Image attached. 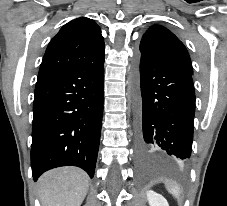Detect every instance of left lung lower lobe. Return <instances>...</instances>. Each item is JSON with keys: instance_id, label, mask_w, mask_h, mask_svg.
Segmentation results:
<instances>
[{"instance_id": "0a47b994", "label": "left lung lower lobe", "mask_w": 227, "mask_h": 206, "mask_svg": "<svg viewBox=\"0 0 227 206\" xmlns=\"http://www.w3.org/2000/svg\"><path fill=\"white\" fill-rule=\"evenodd\" d=\"M191 75L182 68L136 56V144L141 156L155 150L178 160L190 157L195 114Z\"/></svg>"}]
</instances>
